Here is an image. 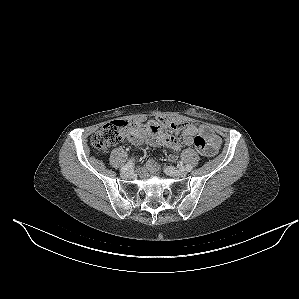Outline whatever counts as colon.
Masks as SVG:
<instances>
[{"instance_id":"obj_1","label":"colon","mask_w":299,"mask_h":299,"mask_svg":"<svg viewBox=\"0 0 299 299\" xmlns=\"http://www.w3.org/2000/svg\"><path fill=\"white\" fill-rule=\"evenodd\" d=\"M160 122L163 127L175 132L182 133L187 124L182 122L171 121L167 118H161ZM142 123H132L125 120H114L105 124L91 139V145L95 150L105 152L112 146L121 142L126 134L133 128H143ZM195 149L203 154L208 155L209 148L204 137L197 136L194 139Z\"/></svg>"}]
</instances>
